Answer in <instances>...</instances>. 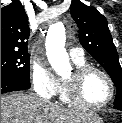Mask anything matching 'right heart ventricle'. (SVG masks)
I'll use <instances>...</instances> for the list:
<instances>
[{"instance_id":"right-heart-ventricle-1","label":"right heart ventricle","mask_w":122,"mask_h":123,"mask_svg":"<svg viewBox=\"0 0 122 123\" xmlns=\"http://www.w3.org/2000/svg\"><path fill=\"white\" fill-rule=\"evenodd\" d=\"M73 62L76 65V67H81V66L87 65V62L84 58L81 60H73ZM58 94H59L60 100L62 102L67 103V104H74L68 99V97L66 95L65 80H60Z\"/></svg>"}]
</instances>
